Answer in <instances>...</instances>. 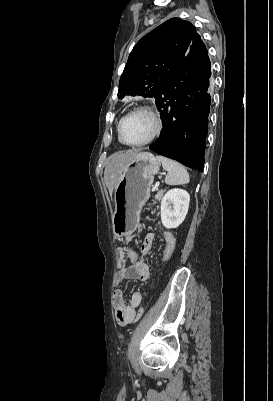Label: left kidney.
Listing matches in <instances>:
<instances>
[{"mask_svg":"<svg viewBox=\"0 0 273 401\" xmlns=\"http://www.w3.org/2000/svg\"><path fill=\"white\" fill-rule=\"evenodd\" d=\"M190 194L183 188H171L161 201V221L166 229H176L183 223L189 209Z\"/></svg>","mask_w":273,"mask_h":401,"instance_id":"obj_1","label":"left kidney"}]
</instances>
